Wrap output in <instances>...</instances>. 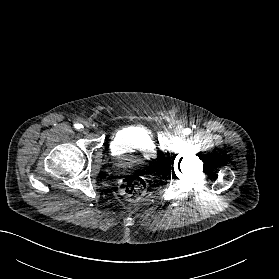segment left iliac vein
<instances>
[{
    "instance_id": "left-iliac-vein-1",
    "label": "left iliac vein",
    "mask_w": 279,
    "mask_h": 279,
    "mask_svg": "<svg viewBox=\"0 0 279 279\" xmlns=\"http://www.w3.org/2000/svg\"><path fill=\"white\" fill-rule=\"evenodd\" d=\"M184 128L182 126H177L175 129V134L179 137H183L184 136Z\"/></svg>"
}]
</instances>
